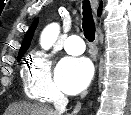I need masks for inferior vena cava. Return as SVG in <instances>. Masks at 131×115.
I'll list each match as a JSON object with an SVG mask.
<instances>
[{
    "label": "inferior vena cava",
    "mask_w": 131,
    "mask_h": 115,
    "mask_svg": "<svg viewBox=\"0 0 131 115\" xmlns=\"http://www.w3.org/2000/svg\"><path fill=\"white\" fill-rule=\"evenodd\" d=\"M68 104V98L65 97L63 94H57L54 98V107H55V112L57 115H62L65 110L66 106Z\"/></svg>",
    "instance_id": "inferior-vena-cava-1"
}]
</instances>
